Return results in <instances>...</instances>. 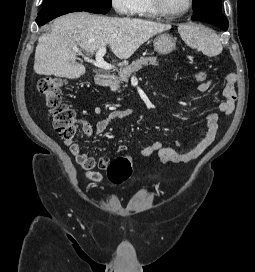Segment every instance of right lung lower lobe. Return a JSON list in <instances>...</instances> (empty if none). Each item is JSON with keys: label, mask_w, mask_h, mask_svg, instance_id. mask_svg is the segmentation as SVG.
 I'll return each mask as SVG.
<instances>
[{"label": "right lung lower lobe", "mask_w": 255, "mask_h": 272, "mask_svg": "<svg viewBox=\"0 0 255 272\" xmlns=\"http://www.w3.org/2000/svg\"><path fill=\"white\" fill-rule=\"evenodd\" d=\"M82 10L77 9H50L45 8L41 9V11L38 13V17L36 19V22L39 26H42L46 24L47 22L51 21L52 19H55L56 17H59L61 15L71 13V12H79Z\"/></svg>", "instance_id": "1"}]
</instances>
